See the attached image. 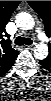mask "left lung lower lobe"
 Wrapping results in <instances>:
<instances>
[{
	"mask_svg": "<svg viewBox=\"0 0 51 101\" xmlns=\"http://www.w3.org/2000/svg\"><path fill=\"white\" fill-rule=\"evenodd\" d=\"M40 63H41V65H42L45 69H47V70L50 69L49 57L46 58V59H44V60H42V61H40Z\"/></svg>",
	"mask_w": 51,
	"mask_h": 101,
	"instance_id": "1",
	"label": "left lung lower lobe"
}]
</instances>
